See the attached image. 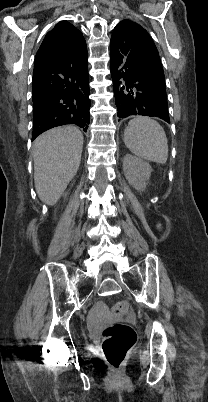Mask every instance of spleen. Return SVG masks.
<instances>
[{
  "mask_svg": "<svg viewBox=\"0 0 208 402\" xmlns=\"http://www.w3.org/2000/svg\"><path fill=\"white\" fill-rule=\"evenodd\" d=\"M124 144L143 160L156 164H166L168 160L166 134L162 126L148 116H136L130 120L124 130Z\"/></svg>",
  "mask_w": 208,
  "mask_h": 402,
  "instance_id": "1",
  "label": "spleen"
}]
</instances>
